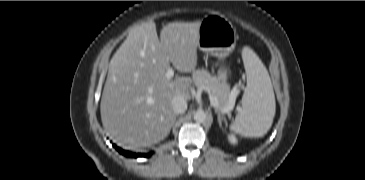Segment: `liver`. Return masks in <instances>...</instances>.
Returning a JSON list of instances; mask_svg holds the SVG:
<instances>
[{"label":"liver","mask_w":365,"mask_h":180,"mask_svg":"<svg viewBox=\"0 0 365 180\" xmlns=\"http://www.w3.org/2000/svg\"><path fill=\"white\" fill-rule=\"evenodd\" d=\"M200 21L173 22L158 38L153 21L133 27L113 55L100 112L107 134L123 145L149 147L166 138L174 96L190 100V77L166 78L170 63L189 73L197 65Z\"/></svg>","instance_id":"1"}]
</instances>
